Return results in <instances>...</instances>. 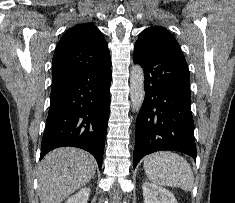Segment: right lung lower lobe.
I'll list each match as a JSON object with an SVG mask.
<instances>
[{
    "instance_id": "obj_1",
    "label": "right lung lower lobe",
    "mask_w": 235,
    "mask_h": 203,
    "mask_svg": "<svg viewBox=\"0 0 235 203\" xmlns=\"http://www.w3.org/2000/svg\"><path fill=\"white\" fill-rule=\"evenodd\" d=\"M110 57L52 85L40 160L51 150L72 146L90 152L102 165L110 112Z\"/></svg>"
}]
</instances>
